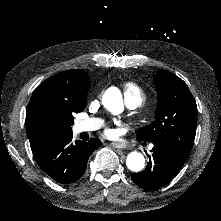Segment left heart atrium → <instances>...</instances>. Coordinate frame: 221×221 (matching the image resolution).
<instances>
[{"label":"left heart atrium","instance_id":"obj_1","mask_svg":"<svg viewBox=\"0 0 221 221\" xmlns=\"http://www.w3.org/2000/svg\"><path fill=\"white\" fill-rule=\"evenodd\" d=\"M113 131L111 130V129H108V130H106V132H105V135L107 136V137H111V136H113Z\"/></svg>","mask_w":221,"mask_h":221}]
</instances>
